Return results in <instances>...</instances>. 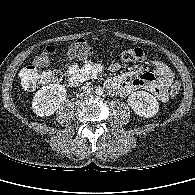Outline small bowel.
Returning <instances> with one entry per match:
<instances>
[{
    "label": "small bowel",
    "instance_id": "small-bowel-1",
    "mask_svg": "<svg viewBox=\"0 0 195 195\" xmlns=\"http://www.w3.org/2000/svg\"><path fill=\"white\" fill-rule=\"evenodd\" d=\"M146 59V58H145ZM154 71H146L143 68H132L127 72L113 76L106 81V87L110 94L127 96L136 90L144 89L151 92L158 100H168V89L171 86L174 75L171 69L159 60H152ZM112 73L121 70L117 62L108 67ZM103 70L98 62H86L83 65L73 63L64 69L69 85L76 87L80 84L96 78Z\"/></svg>",
    "mask_w": 195,
    "mask_h": 195
}]
</instances>
